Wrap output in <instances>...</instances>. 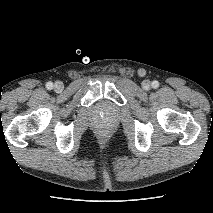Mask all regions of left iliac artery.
<instances>
[{
    "mask_svg": "<svg viewBox=\"0 0 213 213\" xmlns=\"http://www.w3.org/2000/svg\"><path fill=\"white\" fill-rule=\"evenodd\" d=\"M152 87L154 88V89H156V88H158L159 87V82L158 81H153L152 82Z\"/></svg>",
    "mask_w": 213,
    "mask_h": 213,
    "instance_id": "44dca946",
    "label": "left iliac artery"
}]
</instances>
